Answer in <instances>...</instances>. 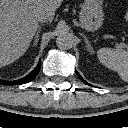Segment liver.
<instances>
[{
	"label": "liver",
	"instance_id": "1",
	"mask_svg": "<svg viewBox=\"0 0 128 128\" xmlns=\"http://www.w3.org/2000/svg\"><path fill=\"white\" fill-rule=\"evenodd\" d=\"M63 0H0V68L13 63L28 49L39 28L37 16L53 19Z\"/></svg>",
	"mask_w": 128,
	"mask_h": 128
}]
</instances>
